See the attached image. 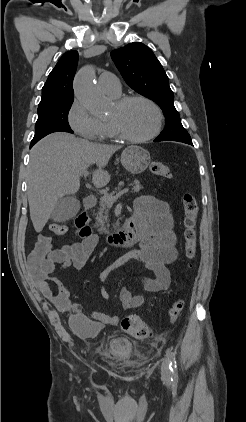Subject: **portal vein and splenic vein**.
Masks as SVG:
<instances>
[{
  "instance_id": "18ae733b",
  "label": "portal vein and splenic vein",
  "mask_w": 246,
  "mask_h": 422,
  "mask_svg": "<svg viewBox=\"0 0 246 422\" xmlns=\"http://www.w3.org/2000/svg\"><path fill=\"white\" fill-rule=\"evenodd\" d=\"M83 175L86 178L89 175V173L87 171H84ZM128 191H129V188H125V189L119 191V193L114 197L109 196V195H104L102 198L107 202V204L109 206H112L113 203H115L118 200L119 197H121L123 194L127 193Z\"/></svg>"
}]
</instances>
